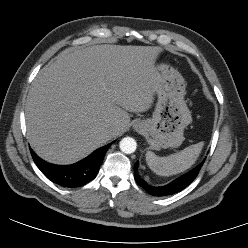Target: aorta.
Returning <instances> with one entry per match:
<instances>
[{"label": "aorta", "instance_id": "762f6f07", "mask_svg": "<svg viewBox=\"0 0 248 248\" xmlns=\"http://www.w3.org/2000/svg\"><path fill=\"white\" fill-rule=\"evenodd\" d=\"M137 147L136 141L131 137H125L120 141V150L123 153L131 154L135 152Z\"/></svg>", "mask_w": 248, "mask_h": 248}]
</instances>
